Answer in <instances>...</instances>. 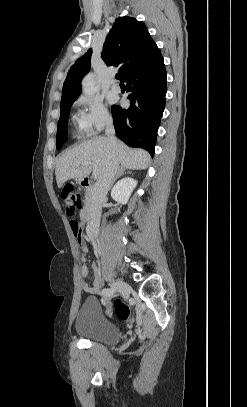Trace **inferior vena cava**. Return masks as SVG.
<instances>
[{"mask_svg":"<svg viewBox=\"0 0 247 407\" xmlns=\"http://www.w3.org/2000/svg\"><path fill=\"white\" fill-rule=\"evenodd\" d=\"M107 140L111 147L114 149L116 145V139L114 137L115 130L112 122H108L105 130ZM119 168L118 159L114 150L111 151L106 169L99 176L97 182L92 190V198L90 203V221L87 225V233L89 238L95 242L101 219L102 202L106 198L108 190L110 189L111 183L114 176L117 174Z\"/></svg>","mask_w":247,"mask_h":407,"instance_id":"inferior-vena-cava-1","label":"inferior vena cava"}]
</instances>
